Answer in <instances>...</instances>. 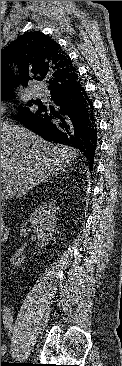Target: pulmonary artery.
I'll return each instance as SVG.
<instances>
[{
    "mask_svg": "<svg viewBox=\"0 0 122 366\" xmlns=\"http://www.w3.org/2000/svg\"><path fill=\"white\" fill-rule=\"evenodd\" d=\"M33 93H34L35 95H40V91H39L38 89L34 90V91H33Z\"/></svg>",
    "mask_w": 122,
    "mask_h": 366,
    "instance_id": "pulmonary-artery-1",
    "label": "pulmonary artery"
}]
</instances>
